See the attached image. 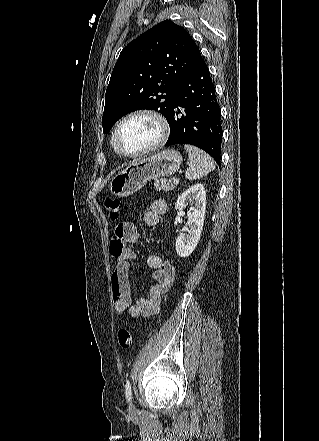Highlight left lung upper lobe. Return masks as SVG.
Returning a JSON list of instances; mask_svg holds the SVG:
<instances>
[{"mask_svg": "<svg viewBox=\"0 0 319 441\" xmlns=\"http://www.w3.org/2000/svg\"><path fill=\"white\" fill-rule=\"evenodd\" d=\"M200 50L181 26L165 20L120 53L105 95L104 134L124 115L158 110L169 119L176 89L200 60Z\"/></svg>", "mask_w": 319, "mask_h": 441, "instance_id": "5c2ea615", "label": "left lung upper lobe"}]
</instances>
